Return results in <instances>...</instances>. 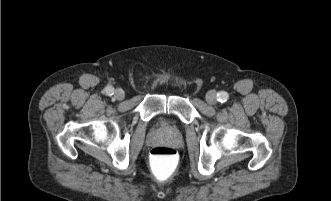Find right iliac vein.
Here are the masks:
<instances>
[{
	"instance_id": "63e3f726",
	"label": "right iliac vein",
	"mask_w": 331,
	"mask_h": 201,
	"mask_svg": "<svg viewBox=\"0 0 331 201\" xmlns=\"http://www.w3.org/2000/svg\"><path fill=\"white\" fill-rule=\"evenodd\" d=\"M114 97L117 99V100H123L124 97H125V93L122 89H116L115 90V94H114Z\"/></svg>"
}]
</instances>
